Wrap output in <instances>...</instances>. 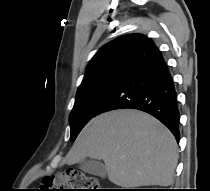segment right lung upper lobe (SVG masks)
Segmentation results:
<instances>
[{"mask_svg":"<svg viewBox=\"0 0 210 191\" xmlns=\"http://www.w3.org/2000/svg\"><path fill=\"white\" fill-rule=\"evenodd\" d=\"M148 40L147 36L142 34H129L121 36L103 46L90 60L87 66L84 79L96 68L116 59L118 57H129ZM83 79V80H84Z\"/></svg>","mask_w":210,"mask_h":191,"instance_id":"cb5924a9","label":"right lung upper lobe"}]
</instances>
